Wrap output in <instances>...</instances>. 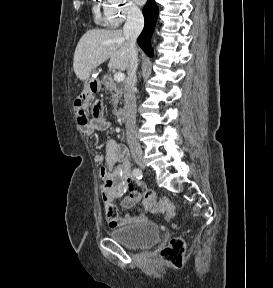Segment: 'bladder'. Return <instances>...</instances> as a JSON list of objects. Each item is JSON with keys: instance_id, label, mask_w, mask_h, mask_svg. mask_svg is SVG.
Instances as JSON below:
<instances>
[{"instance_id": "bladder-1", "label": "bladder", "mask_w": 273, "mask_h": 288, "mask_svg": "<svg viewBox=\"0 0 273 288\" xmlns=\"http://www.w3.org/2000/svg\"><path fill=\"white\" fill-rule=\"evenodd\" d=\"M117 243L133 250L154 246L161 238L159 227L152 222H143L119 227L109 232Z\"/></svg>"}]
</instances>
